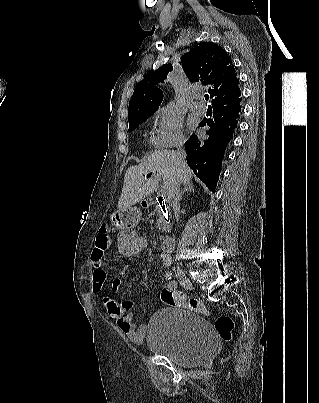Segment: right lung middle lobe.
Here are the masks:
<instances>
[{
	"label": "right lung middle lobe",
	"mask_w": 319,
	"mask_h": 403,
	"mask_svg": "<svg viewBox=\"0 0 319 403\" xmlns=\"http://www.w3.org/2000/svg\"><path fill=\"white\" fill-rule=\"evenodd\" d=\"M155 111L141 117L138 118L136 120L130 121L129 122V131H132L133 129H135L140 123H142L143 121H145L149 116H151Z\"/></svg>",
	"instance_id": "dd1d6c3e"
}]
</instances>
